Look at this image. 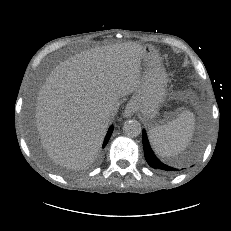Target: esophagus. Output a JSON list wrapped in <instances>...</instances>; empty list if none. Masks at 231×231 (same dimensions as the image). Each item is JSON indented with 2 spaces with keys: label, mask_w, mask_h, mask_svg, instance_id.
I'll return each instance as SVG.
<instances>
[{
  "label": "esophagus",
  "mask_w": 231,
  "mask_h": 231,
  "mask_svg": "<svg viewBox=\"0 0 231 231\" xmlns=\"http://www.w3.org/2000/svg\"><path fill=\"white\" fill-rule=\"evenodd\" d=\"M135 107L132 103H128L123 112L124 117H131L135 114Z\"/></svg>",
  "instance_id": "obj_1"
}]
</instances>
